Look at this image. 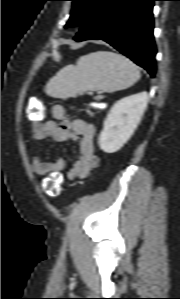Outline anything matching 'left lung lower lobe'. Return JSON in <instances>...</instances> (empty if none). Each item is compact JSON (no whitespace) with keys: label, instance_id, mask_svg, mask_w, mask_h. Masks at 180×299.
I'll return each mask as SVG.
<instances>
[{"label":"left lung lower lobe","instance_id":"obj_1","mask_svg":"<svg viewBox=\"0 0 180 299\" xmlns=\"http://www.w3.org/2000/svg\"><path fill=\"white\" fill-rule=\"evenodd\" d=\"M154 1L98 0L74 40H103L154 77Z\"/></svg>","mask_w":180,"mask_h":299}]
</instances>
